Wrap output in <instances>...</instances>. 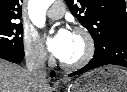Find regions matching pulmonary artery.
I'll list each match as a JSON object with an SVG mask.
<instances>
[{
	"mask_svg": "<svg viewBox=\"0 0 127 92\" xmlns=\"http://www.w3.org/2000/svg\"><path fill=\"white\" fill-rule=\"evenodd\" d=\"M64 12H65V7H64L63 2L53 1L52 5L50 6V8L47 11V15L50 18L57 19V18L62 17Z\"/></svg>",
	"mask_w": 127,
	"mask_h": 92,
	"instance_id": "1",
	"label": "pulmonary artery"
}]
</instances>
